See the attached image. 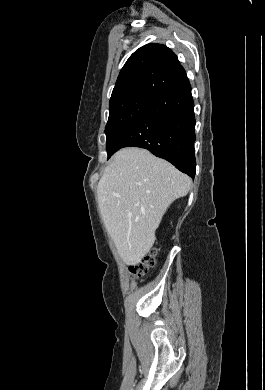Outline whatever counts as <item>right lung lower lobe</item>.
I'll return each instance as SVG.
<instances>
[{"mask_svg":"<svg viewBox=\"0 0 265 390\" xmlns=\"http://www.w3.org/2000/svg\"><path fill=\"white\" fill-rule=\"evenodd\" d=\"M195 116L188 78L156 97L119 138L115 151L124 147L148 149L194 178Z\"/></svg>","mask_w":265,"mask_h":390,"instance_id":"right-lung-lower-lobe-1","label":"right lung lower lobe"}]
</instances>
